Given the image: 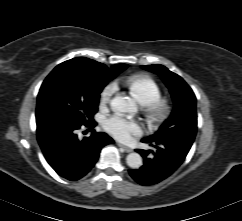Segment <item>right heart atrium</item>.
Listing matches in <instances>:
<instances>
[{
  "instance_id": "obj_1",
  "label": "right heart atrium",
  "mask_w": 242,
  "mask_h": 221,
  "mask_svg": "<svg viewBox=\"0 0 242 221\" xmlns=\"http://www.w3.org/2000/svg\"><path fill=\"white\" fill-rule=\"evenodd\" d=\"M117 89L118 87L115 82H110L107 85H105L100 93V103L102 105L108 104L111 101L114 94L117 92Z\"/></svg>"
}]
</instances>
